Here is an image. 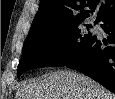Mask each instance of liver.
Returning <instances> with one entry per match:
<instances>
[{
    "mask_svg": "<svg viewBox=\"0 0 115 99\" xmlns=\"http://www.w3.org/2000/svg\"><path fill=\"white\" fill-rule=\"evenodd\" d=\"M15 99H115V94L87 76L60 71L22 83Z\"/></svg>",
    "mask_w": 115,
    "mask_h": 99,
    "instance_id": "6515ba94",
    "label": "liver"
}]
</instances>
